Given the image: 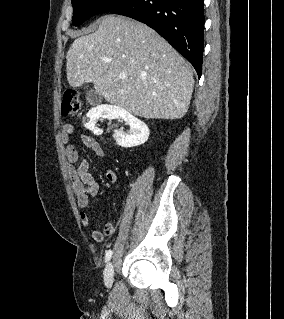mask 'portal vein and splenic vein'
<instances>
[{
	"label": "portal vein and splenic vein",
	"instance_id": "18ae733b",
	"mask_svg": "<svg viewBox=\"0 0 284 319\" xmlns=\"http://www.w3.org/2000/svg\"><path fill=\"white\" fill-rule=\"evenodd\" d=\"M125 77H126L125 74L120 75V78H121V79H124Z\"/></svg>",
	"mask_w": 284,
	"mask_h": 319
}]
</instances>
